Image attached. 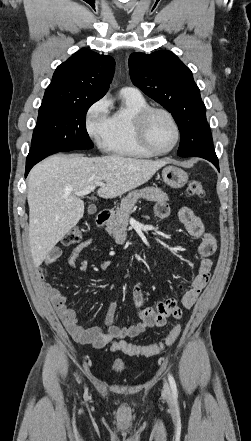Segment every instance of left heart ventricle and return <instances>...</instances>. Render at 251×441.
<instances>
[{
	"instance_id": "b2bd125f",
	"label": "left heart ventricle",
	"mask_w": 251,
	"mask_h": 441,
	"mask_svg": "<svg viewBox=\"0 0 251 441\" xmlns=\"http://www.w3.org/2000/svg\"><path fill=\"white\" fill-rule=\"evenodd\" d=\"M148 136L156 149L166 150L175 141V130L167 116L162 113H154L148 122Z\"/></svg>"
}]
</instances>
